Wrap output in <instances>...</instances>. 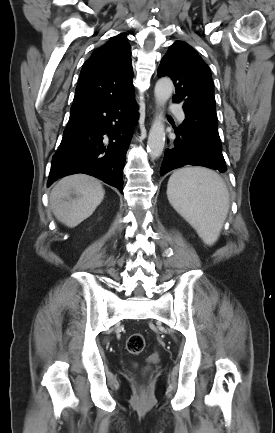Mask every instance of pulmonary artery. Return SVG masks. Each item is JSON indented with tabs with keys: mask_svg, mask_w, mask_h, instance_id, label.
<instances>
[{
	"mask_svg": "<svg viewBox=\"0 0 275 433\" xmlns=\"http://www.w3.org/2000/svg\"><path fill=\"white\" fill-rule=\"evenodd\" d=\"M168 111L172 113H176L177 117L180 121H183L185 119V115L180 112V106L178 104L172 103L168 107Z\"/></svg>",
	"mask_w": 275,
	"mask_h": 433,
	"instance_id": "pulmonary-artery-1",
	"label": "pulmonary artery"
}]
</instances>
